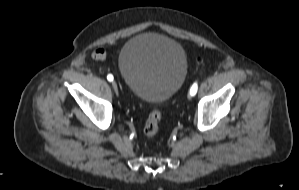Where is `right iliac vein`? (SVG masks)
<instances>
[{
    "mask_svg": "<svg viewBox=\"0 0 299 190\" xmlns=\"http://www.w3.org/2000/svg\"><path fill=\"white\" fill-rule=\"evenodd\" d=\"M112 87H113V89L115 90V92L118 93V85H117V82H116V81H113V82H112Z\"/></svg>",
    "mask_w": 299,
    "mask_h": 190,
    "instance_id": "63e3f726",
    "label": "right iliac vein"
}]
</instances>
